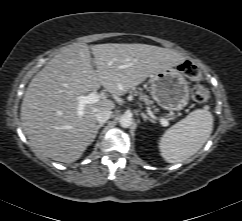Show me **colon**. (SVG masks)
Wrapping results in <instances>:
<instances>
[{"label":"colon","instance_id":"1","mask_svg":"<svg viewBox=\"0 0 242 221\" xmlns=\"http://www.w3.org/2000/svg\"><path fill=\"white\" fill-rule=\"evenodd\" d=\"M181 71L193 81H198L200 79L199 68L192 62H185L182 64ZM192 97L197 103L205 104L210 99V92L206 86L197 84L192 90Z\"/></svg>","mask_w":242,"mask_h":221}]
</instances>
